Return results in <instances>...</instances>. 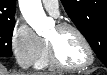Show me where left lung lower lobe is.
Wrapping results in <instances>:
<instances>
[{
    "mask_svg": "<svg viewBox=\"0 0 107 75\" xmlns=\"http://www.w3.org/2000/svg\"><path fill=\"white\" fill-rule=\"evenodd\" d=\"M104 55H105V53H104V51L101 49V50H99L98 51V58L101 60V61H103V57H104Z\"/></svg>",
    "mask_w": 107,
    "mask_h": 75,
    "instance_id": "obj_1",
    "label": "left lung lower lobe"
}]
</instances>
